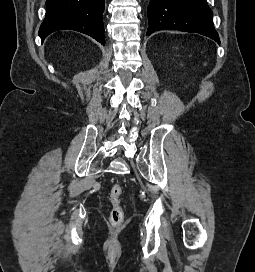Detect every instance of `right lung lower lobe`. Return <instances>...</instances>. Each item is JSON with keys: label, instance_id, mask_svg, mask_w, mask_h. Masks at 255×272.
<instances>
[{"label": "right lung lower lobe", "instance_id": "right-lung-lower-lobe-1", "mask_svg": "<svg viewBox=\"0 0 255 272\" xmlns=\"http://www.w3.org/2000/svg\"><path fill=\"white\" fill-rule=\"evenodd\" d=\"M105 0H47L46 14L39 29L42 41L59 30H76L105 45L102 21Z\"/></svg>", "mask_w": 255, "mask_h": 272}]
</instances>
